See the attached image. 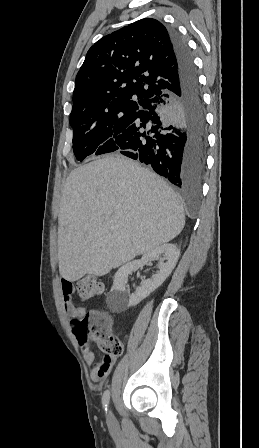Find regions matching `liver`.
I'll return each mask as SVG.
<instances>
[{
    "label": "liver",
    "instance_id": "1",
    "mask_svg": "<svg viewBox=\"0 0 259 448\" xmlns=\"http://www.w3.org/2000/svg\"><path fill=\"white\" fill-rule=\"evenodd\" d=\"M58 224L59 272L77 282L170 242L182 232L185 214L159 176L125 156H103L69 174Z\"/></svg>",
    "mask_w": 259,
    "mask_h": 448
}]
</instances>
